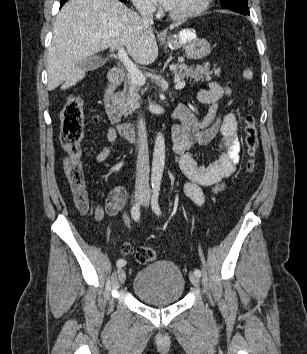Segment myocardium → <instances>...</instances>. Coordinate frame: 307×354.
Instances as JSON below:
<instances>
[{
	"label": "myocardium",
	"mask_w": 307,
	"mask_h": 354,
	"mask_svg": "<svg viewBox=\"0 0 307 354\" xmlns=\"http://www.w3.org/2000/svg\"><path fill=\"white\" fill-rule=\"evenodd\" d=\"M212 1L213 0H201L200 3L195 8L182 14H175L168 11V16L173 20H178V21H183V20L197 17L202 13H204L210 7Z\"/></svg>",
	"instance_id": "f54148a6"
}]
</instances>
